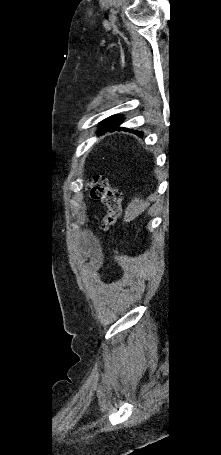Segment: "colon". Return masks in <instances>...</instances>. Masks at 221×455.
Listing matches in <instances>:
<instances>
[{
	"instance_id": "obj_1",
	"label": "colon",
	"mask_w": 221,
	"mask_h": 455,
	"mask_svg": "<svg viewBox=\"0 0 221 455\" xmlns=\"http://www.w3.org/2000/svg\"><path fill=\"white\" fill-rule=\"evenodd\" d=\"M87 191L94 199L100 200L107 211L102 219L104 228L113 225L121 214V192L112 187L106 177L99 176L87 184Z\"/></svg>"
}]
</instances>
